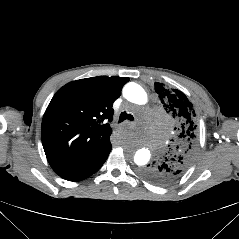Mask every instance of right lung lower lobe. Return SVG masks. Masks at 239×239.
<instances>
[{
    "label": "right lung lower lobe",
    "mask_w": 239,
    "mask_h": 239,
    "mask_svg": "<svg viewBox=\"0 0 239 239\" xmlns=\"http://www.w3.org/2000/svg\"><path fill=\"white\" fill-rule=\"evenodd\" d=\"M111 149V143L108 141L91 157L59 174V176L68 181H80L86 179L101 168Z\"/></svg>",
    "instance_id": "1"
}]
</instances>
